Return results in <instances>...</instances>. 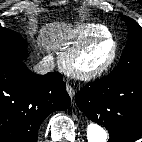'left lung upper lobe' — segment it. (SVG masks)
Wrapping results in <instances>:
<instances>
[{"label": "left lung upper lobe", "instance_id": "1", "mask_svg": "<svg viewBox=\"0 0 142 142\" xmlns=\"http://www.w3.org/2000/svg\"><path fill=\"white\" fill-rule=\"evenodd\" d=\"M121 17L128 28L129 39L120 61L117 67L110 73L111 75L142 71V28L135 20L123 15Z\"/></svg>", "mask_w": 142, "mask_h": 142}]
</instances>
